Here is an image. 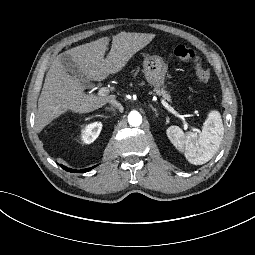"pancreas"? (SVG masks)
<instances>
[{"label":"pancreas","mask_w":255,"mask_h":255,"mask_svg":"<svg viewBox=\"0 0 255 255\" xmlns=\"http://www.w3.org/2000/svg\"><path fill=\"white\" fill-rule=\"evenodd\" d=\"M156 94H159L163 100L169 101V96L165 93L164 90L156 91Z\"/></svg>","instance_id":"obj_1"}]
</instances>
